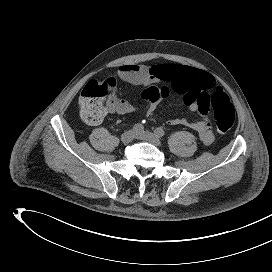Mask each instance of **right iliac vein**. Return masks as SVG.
I'll return each mask as SVG.
<instances>
[{
	"mask_svg": "<svg viewBox=\"0 0 272 272\" xmlns=\"http://www.w3.org/2000/svg\"><path fill=\"white\" fill-rule=\"evenodd\" d=\"M135 137V132L132 130L126 131L121 135V141L124 144L130 143Z\"/></svg>",
	"mask_w": 272,
	"mask_h": 272,
	"instance_id": "right-iliac-vein-1",
	"label": "right iliac vein"
}]
</instances>
